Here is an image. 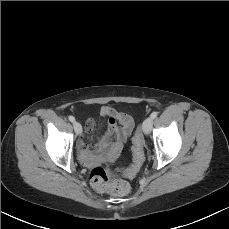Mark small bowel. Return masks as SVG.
<instances>
[{
	"instance_id": "small-bowel-1",
	"label": "small bowel",
	"mask_w": 229,
	"mask_h": 229,
	"mask_svg": "<svg viewBox=\"0 0 229 229\" xmlns=\"http://www.w3.org/2000/svg\"><path fill=\"white\" fill-rule=\"evenodd\" d=\"M100 115L108 118V126L98 146V153H93L91 150L94 144L93 137L80 139L77 142L79 159L87 166H96L119 156L135 125L132 116L108 106L101 107ZM117 123L122 127L119 128ZM93 128L94 121L88 119L84 127L85 133L89 134Z\"/></svg>"
}]
</instances>
